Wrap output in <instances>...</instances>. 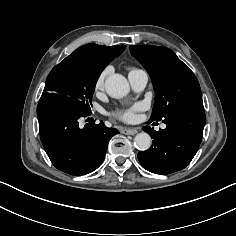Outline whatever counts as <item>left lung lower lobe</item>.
Returning a JSON list of instances; mask_svg holds the SVG:
<instances>
[{
    "mask_svg": "<svg viewBox=\"0 0 236 236\" xmlns=\"http://www.w3.org/2000/svg\"><path fill=\"white\" fill-rule=\"evenodd\" d=\"M151 122L149 120L148 123ZM205 122L203 104L188 103L167 113L163 119L165 129L155 131L150 126H144L142 129L153 141L148 150L138 153L140 164L156 174L184 169L200 146Z\"/></svg>",
    "mask_w": 236,
    "mask_h": 236,
    "instance_id": "1",
    "label": "left lung lower lobe"
}]
</instances>
